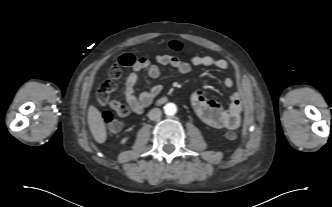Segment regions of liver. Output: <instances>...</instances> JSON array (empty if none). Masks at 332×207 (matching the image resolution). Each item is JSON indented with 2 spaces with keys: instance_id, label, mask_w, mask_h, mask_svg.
Instances as JSON below:
<instances>
[{
  "instance_id": "1",
  "label": "liver",
  "mask_w": 332,
  "mask_h": 207,
  "mask_svg": "<svg viewBox=\"0 0 332 207\" xmlns=\"http://www.w3.org/2000/svg\"><path fill=\"white\" fill-rule=\"evenodd\" d=\"M88 125L96 142L102 144L107 139L105 123L100 111L93 105L88 108Z\"/></svg>"
}]
</instances>
